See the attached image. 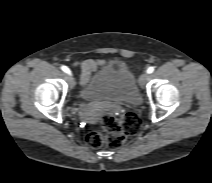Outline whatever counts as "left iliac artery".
I'll use <instances>...</instances> for the list:
<instances>
[{"label":"left iliac artery","mask_w":212,"mask_h":183,"mask_svg":"<svg viewBox=\"0 0 212 183\" xmlns=\"http://www.w3.org/2000/svg\"><path fill=\"white\" fill-rule=\"evenodd\" d=\"M153 71H154V67H149V68L147 69V73H148V74L152 73Z\"/></svg>","instance_id":"44dca946"}]
</instances>
